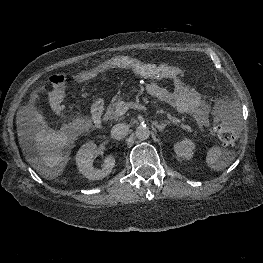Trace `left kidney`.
I'll return each instance as SVG.
<instances>
[{"label":"left kidney","instance_id":"5707ae66","mask_svg":"<svg viewBox=\"0 0 263 263\" xmlns=\"http://www.w3.org/2000/svg\"><path fill=\"white\" fill-rule=\"evenodd\" d=\"M194 148L195 144L189 139H184L174 145L176 155L183 159H191Z\"/></svg>","mask_w":263,"mask_h":263}]
</instances>
